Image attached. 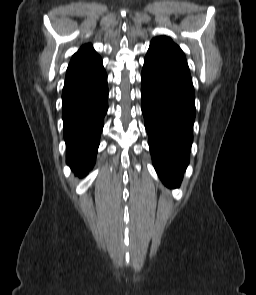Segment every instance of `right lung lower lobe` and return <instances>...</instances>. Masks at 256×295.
I'll return each mask as SVG.
<instances>
[{"label": "right lung lower lobe", "instance_id": "1", "mask_svg": "<svg viewBox=\"0 0 256 295\" xmlns=\"http://www.w3.org/2000/svg\"><path fill=\"white\" fill-rule=\"evenodd\" d=\"M107 109V74L101 57L69 66L62 92V119L66 161L79 177L87 175L95 163Z\"/></svg>", "mask_w": 256, "mask_h": 295}]
</instances>
